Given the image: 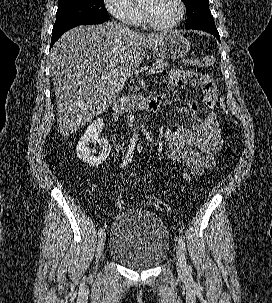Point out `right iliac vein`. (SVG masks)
I'll return each instance as SVG.
<instances>
[{
  "mask_svg": "<svg viewBox=\"0 0 272 303\" xmlns=\"http://www.w3.org/2000/svg\"><path fill=\"white\" fill-rule=\"evenodd\" d=\"M104 246H105V234L101 235L98 239V242H97V248H96V263H98L101 255H102V252L104 250ZM97 267V265H96Z\"/></svg>",
  "mask_w": 272,
  "mask_h": 303,
  "instance_id": "63e3f726",
  "label": "right iliac vein"
}]
</instances>
